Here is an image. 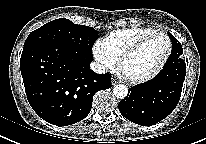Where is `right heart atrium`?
Masks as SVG:
<instances>
[{
  "label": "right heart atrium",
  "instance_id": "right-heart-atrium-1",
  "mask_svg": "<svg viewBox=\"0 0 206 144\" xmlns=\"http://www.w3.org/2000/svg\"><path fill=\"white\" fill-rule=\"evenodd\" d=\"M93 56L100 66L104 69H113L117 60L112 56L105 44L101 40H97L92 48Z\"/></svg>",
  "mask_w": 206,
  "mask_h": 144
}]
</instances>
